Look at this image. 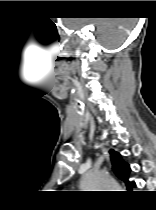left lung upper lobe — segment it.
Wrapping results in <instances>:
<instances>
[{"label":"left lung upper lobe","mask_w":156,"mask_h":210,"mask_svg":"<svg viewBox=\"0 0 156 210\" xmlns=\"http://www.w3.org/2000/svg\"><path fill=\"white\" fill-rule=\"evenodd\" d=\"M110 155L114 173L126 183L128 189H131V187L135 186V183L128 181L130 173L129 164L125 163L120 154L114 150H110Z\"/></svg>","instance_id":"1"}]
</instances>
